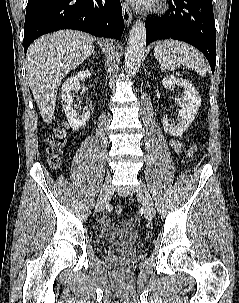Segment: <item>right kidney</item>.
<instances>
[{"instance_id": "right-kidney-1", "label": "right kidney", "mask_w": 239, "mask_h": 303, "mask_svg": "<svg viewBox=\"0 0 239 303\" xmlns=\"http://www.w3.org/2000/svg\"><path fill=\"white\" fill-rule=\"evenodd\" d=\"M92 75L90 70H83L77 73L76 76H71L62 85V106L66 114L68 123L73 130H79L85 126L86 121L90 117V112L86 111L79 115L73 108L72 92L80 89L79 78H88Z\"/></svg>"}]
</instances>
